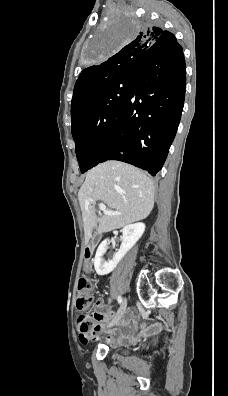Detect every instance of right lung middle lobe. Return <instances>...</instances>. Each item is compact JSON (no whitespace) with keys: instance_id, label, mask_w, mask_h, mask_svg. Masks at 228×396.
Returning <instances> with one entry per match:
<instances>
[{"instance_id":"dd1d6c3e","label":"right lung middle lobe","mask_w":228,"mask_h":396,"mask_svg":"<svg viewBox=\"0 0 228 396\" xmlns=\"http://www.w3.org/2000/svg\"><path fill=\"white\" fill-rule=\"evenodd\" d=\"M124 24V25H123ZM144 20L128 14L118 25L100 34L94 43L95 59H103L145 27ZM122 28V29H121ZM132 77L119 78L103 88L72 119V136L81 172L96 166L104 158L116 117L131 87Z\"/></svg>"}]
</instances>
